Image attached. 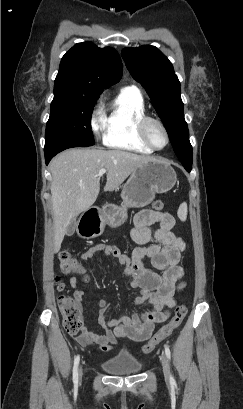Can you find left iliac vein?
Here are the masks:
<instances>
[{
    "label": "left iliac vein",
    "instance_id": "obj_1",
    "mask_svg": "<svg viewBox=\"0 0 243 409\" xmlns=\"http://www.w3.org/2000/svg\"><path fill=\"white\" fill-rule=\"evenodd\" d=\"M160 358H161V363L163 367L164 377L166 380H168L170 377V367H169L168 360L164 354H161Z\"/></svg>",
    "mask_w": 243,
    "mask_h": 409
}]
</instances>
